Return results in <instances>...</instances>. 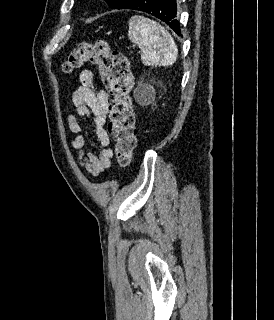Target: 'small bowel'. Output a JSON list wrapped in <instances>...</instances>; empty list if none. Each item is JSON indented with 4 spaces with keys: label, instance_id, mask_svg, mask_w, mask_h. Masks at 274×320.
Masks as SVG:
<instances>
[{
    "label": "small bowel",
    "instance_id": "small-bowel-1",
    "mask_svg": "<svg viewBox=\"0 0 274 320\" xmlns=\"http://www.w3.org/2000/svg\"><path fill=\"white\" fill-rule=\"evenodd\" d=\"M79 83L78 89L72 95V102L79 116L86 117L91 113L95 116V132L100 145L98 153H85L84 145L88 134L77 117L68 114L66 121L70 131L76 134L71 141V147L75 151L78 165L88 174L95 176L110 167L114 155L110 137L105 129L109 113V96L106 91L97 87L95 74L91 69L80 72Z\"/></svg>",
    "mask_w": 274,
    "mask_h": 320
}]
</instances>
